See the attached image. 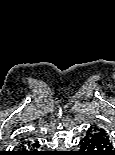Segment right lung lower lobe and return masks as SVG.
I'll use <instances>...</instances> for the list:
<instances>
[{"label": "right lung lower lobe", "instance_id": "98d812e1", "mask_svg": "<svg viewBox=\"0 0 115 155\" xmlns=\"http://www.w3.org/2000/svg\"><path fill=\"white\" fill-rule=\"evenodd\" d=\"M39 144L29 140H24L19 145V155H44V152L38 150Z\"/></svg>", "mask_w": 115, "mask_h": 155}]
</instances>
